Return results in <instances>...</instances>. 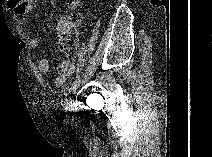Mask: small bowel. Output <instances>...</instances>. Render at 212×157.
Masks as SVG:
<instances>
[{
	"label": "small bowel",
	"mask_w": 212,
	"mask_h": 157,
	"mask_svg": "<svg viewBox=\"0 0 212 157\" xmlns=\"http://www.w3.org/2000/svg\"><path fill=\"white\" fill-rule=\"evenodd\" d=\"M68 4L71 8H75L78 6L79 2L76 0H69ZM7 6L18 15H24L27 12L28 4L23 0H8ZM68 27V21L66 17H60L57 20L56 31L59 35L62 31H64ZM40 45V41L36 38L31 39L30 47L32 49L38 48ZM38 72L40 74H46L49 71L50 63L47 58H41L38 61ZM75 66L71 61H63L60 63L58 67V75L54 79V86L56 88H63L67 80L72 76L74 72Z\"/></svg>",
	"instance_id": "obj_1"
}]
</instances>
